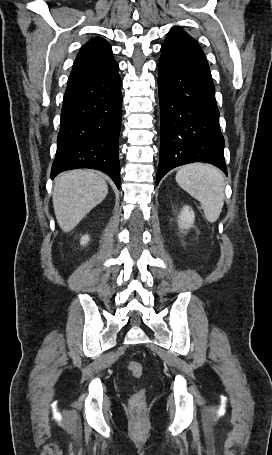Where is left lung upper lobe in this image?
I'll return each instance as SVG.
<instances>
[{
  "label": "left lung upper lobe",
  "mask_w": 272,
  "mask_h": 455,
  "mask_svg": "<svg viewBox=\"0 0 272 455\" xmlns=\"http://www.w3.org/2000/svg\"><path fill=\"white\" fill-rule=\"evenodd\" d=\"M161 52L160 59L170 63L188 61L207 63L205 54L197 41L179 26L171 28L161 47Z\"/></svg>",
  "instance_id": "1"
}]
</instances>
